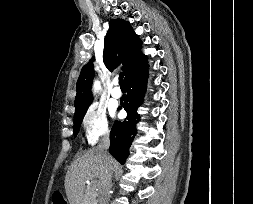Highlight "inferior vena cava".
Segmentation results:
<instances>
[{"label":"inferior vena cava","mask_w":253,"mask_h":204,"mask_svg":"<svg viewBox=\"0 0 253 204\" xmlns=\"http://www.w3.org/2000/svg\"><path fill=\"white\" fill-rule=\"evenodd\" d=\"M110 146L109 134L106 133L100 140L97 148L102 152L105 161V171L100 182L98 193L99 204H107L109 199L110 189L112 187V174L114 171L113 162L107 150Z\"/></svg>","instance_id":"inferior-vena-cava-1"}]
</instances>
